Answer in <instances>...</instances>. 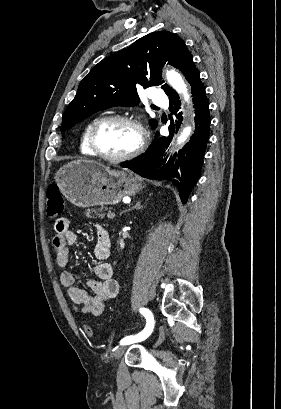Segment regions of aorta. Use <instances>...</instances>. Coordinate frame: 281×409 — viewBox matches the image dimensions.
<instances>
[{"instance_id": "1", "label": "aorta", "mask_w": 281, "mask_h": 409, "mask_svg": "<svg viewBox=\"0 0 281 409\" xmlns=\"http://www.w3.org/2000/svg\"><path fill=\"white\" fill-rule=\"evenodd\" d=\"M166 78L168 83L179 93V94H183L184 99L186 101L189 100V95L187 93V87L185 85V82L183 80V78L181 77V75L179 73H177L174 70L171 71H167L166 73ZM191 133V127H186L181 135L179 136L177 142L178 144L183 143L186 141V139L189 137Z\"/></svg>"}]
</instances>
